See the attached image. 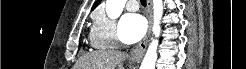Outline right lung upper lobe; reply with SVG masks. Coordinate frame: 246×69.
Segmentation results:
<instances>
[{
  "label": "right lung upper lobe",
  "instance_id": "1",
  "mask_svg": "<svg viewBox=\"0 0 246 69\" xmlns=\"http://www.w3.org/2000/svg\"><path fill=\"white\" fill-rule=\"evenodd\" d=\"M98 5V2L95 3V5L92 7V10Z\"/></svg>",
  "mask_w": 246,
  "mask_h": 69
}]
</instances>
